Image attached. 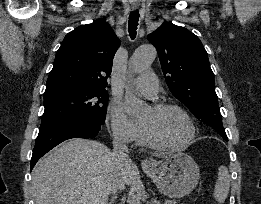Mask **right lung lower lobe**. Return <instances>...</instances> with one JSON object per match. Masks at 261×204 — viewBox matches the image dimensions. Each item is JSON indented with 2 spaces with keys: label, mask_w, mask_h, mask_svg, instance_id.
<instances>
[{
  "label": "right lung lower lobe",
  "mask_w": 261,
  "mask_h": 204,
  "mask_svg": "<svg viewBox=\"0 0 261 204\" xmlns=\"http://www.w3.org/2000/svg\"><path fill=\"white\" fill-rule=\"evenodd\" d=\"M103 124L104 121L89 117H69L42 122L31 158V169L40 157L63 141L97 136Z\"/></svg>",
  "instance_id": "obj_1"
}]
</instances>
